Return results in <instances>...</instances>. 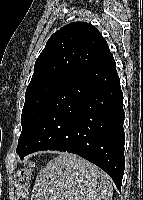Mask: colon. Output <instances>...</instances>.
<instances>
[{
  "mask_svg": "<svg viewBox=\"0 0 143 200\" xmlns=\"http://www.w3.org/2000/svg\"><path fill=\"white\" fill-rule=\"evenodd\" d=\"M34 165L32 162H26L17 171L15 178V200H28L29 189Z\"/></svg>",
  "mask_w": 143,
  "mask_h": 200,
  "instance_id": "1",
  "label": "colon"
}]
</instances>
